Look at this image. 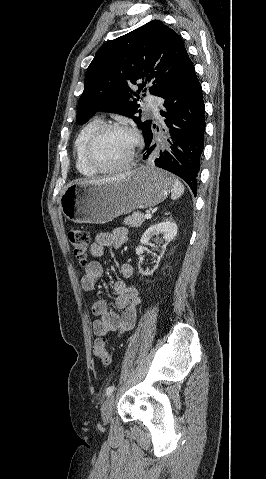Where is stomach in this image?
Listing matches in <instances>:
<instances>
[{
	"label": "stomach",
	"instance_id": "stomach-1",
	"mask_svg": "<svg viewBox=\"0 0 266 479\" xmlns=\"http://www.w3.org/2000/svg\"><path fill=\"white\" fill-rule=\"evenodd\" d=\"M172 188L169 173L146 165L118 181L70 184L60 197V208L69 221L103 224L135 209L159 204Z\"/></svg>",
	"mask_w": 266,
	"mask_h": 479
}]
</instances>
